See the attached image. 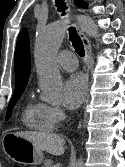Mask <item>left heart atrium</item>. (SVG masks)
<instances>
[{"label":"left heart atrium","instance_id":"left-heart-atrium-1","mask_svg":"<svg viewBox=\"0 0 125 167\" xmlns=\"http://www.w3.org/2000/svg\"><path fill=\"white\" fill-rule=\"evenodd\" d=\"M87 80L80 73L71 74L63 84V103L68 109L77 108L84 100Z\"/></svg>","mask_w":125,"mask_h":167}]
</instances>
